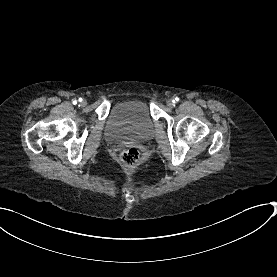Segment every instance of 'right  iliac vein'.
<instances>
[{
    "label": "right iliac vein",
    "instance_id": "63e3f726",
    "mask_svg": "<svg viewBox=\"0 0 277 277\" xmlns=\"http://www.w3.org/2000/svg\"><path fill=\"white\" fill-rule=\"evenodd\" d=\"M86 104V101H82V105H85Z\"/></svg>",
    "mask_w": 277,
    "mask_h": 277
}]
</instances>
